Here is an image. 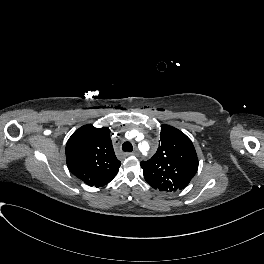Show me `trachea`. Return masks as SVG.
<instances>
[{
    "label": "trachea",
    "instance_id": "3493384b",
    "mask_svg": "<svg viewBox=\"0 0 264 264\" xmlns=\"http://www.w3.org/2000/svg\"><path fill=\"white\" fill-rule=\"evenodd\" d=\"M122 150L125 152H132L133 146L130 142H124L122 145Z\"/></svg>",
    "mask_w": 264,
    "mask_h": 264
}]
</instances>
